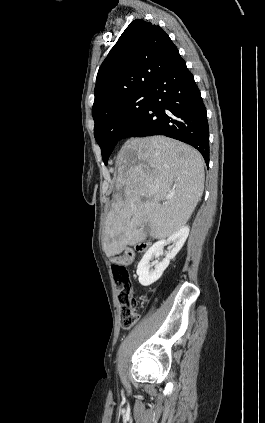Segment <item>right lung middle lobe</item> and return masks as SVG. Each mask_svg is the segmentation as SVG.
<instances>
[{"label":"right lung middle lobe","mask_w":265,"mask_h":423,"mask_svg":"<svg viewBox=\"0 0 265 423\" xmlns=\"http://www.w3.org/2000/svg\"><path fill=\"white\" fill-rule=\"evenodd\" d=\"M150 100V90L137 92L122 99L94 120V136L105 164L123 133L144 111Z\"/></svg>","instance_id":"dd1d6c3e"}]
</instances>
